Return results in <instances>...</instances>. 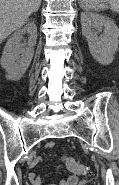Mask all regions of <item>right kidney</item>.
<instances>
[{"instance_id":"obj_1","label":"right kidney","mask_w":119,"mask_h":185,"mask_svg":"<svg viewBox=\"0 0 119 185\" xmlns=\"http://www.w3.org/2000/svg\"><path fill=\"white\" fill-rule=\"evenodd\" d=\"M26 33L30 35L27 47L21 42L22 35ZM36 41L37 27L33 22L15 31L9 38L0 61L7 72V79L18 81L22 78L32 61Z\"/></svg>"}]
</instances>
